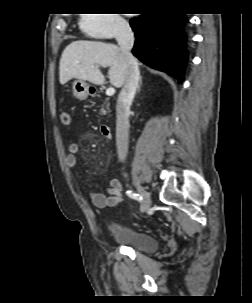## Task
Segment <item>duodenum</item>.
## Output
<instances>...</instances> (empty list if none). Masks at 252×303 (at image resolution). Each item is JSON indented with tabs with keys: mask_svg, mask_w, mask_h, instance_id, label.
Returning a JSON list of instances; mask_svg holds the SVG:
<instances>
[{
	"mask_svg": "<svg viewBox=\"0 0 252 303\" xmlns=\"http://www.w3.org/2000/svg\"><path fill=\"white\" fill-rule=\"evenodd\" d=\"M100 130L102 135L106 138V139H110L111 138V129L110 126L107 124H101L100 125Z\"/></svg>",
	"mask_w": 252,
	"mask_h": 303,
	"instance_id": "1",
	"label": "duodenum"
}]
</instances>
